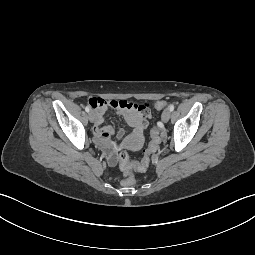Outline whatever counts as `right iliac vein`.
I'll use <instances>...</instances> for the list:
<instances>
[{
    "label": "right iliac vein",
    "instance_id": "1",
    "mask_svg": "<svg viewBox=\"0 0 255 255\" xmlns=\"http://www.w3.org/2000/svg\"><path fill=\"white\" fill-rule=\"evenodd\" d=\"M89 120H90V122H94L95 121V114H94V112L93 111H91V112H89Z\"/></svg>",
    "mask_w": 255,
    "mask_h": 255
}]
</instances>
